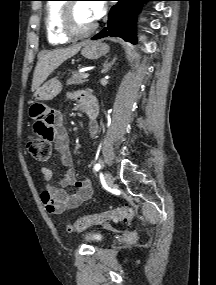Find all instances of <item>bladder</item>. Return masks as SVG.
I'll use <instances>...</instances> for the list:
<instances>
[{
	"label": "bladder",
	"mask_w": 216,
	"mask_h": 285,
	"mask_svg": "<svg viewBox=\"0 0 216 285\" xmlns=\"http://www.w3.org/2000/svg\"><path fill=\"white\" fill-rule=\"evenodd\" d=\"M85 240L93 241V242H100L102 237L100 234L97 233H87L83 236Z\"/></svg>",
	"instance_id": "1"
}]
</instances>
